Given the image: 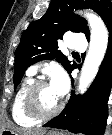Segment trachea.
Wrapping results in <instances>:
<instances>
[{"instance_id": "obj_1", "label": "trachea", "mask_w": 112, "mask_h": 135, "mask_svg": "<svg viewBox=\"0 0 112 135\" xmlns=\"http://www.w3.org/2000/svg\"><path fill=\"white\" fill-rule=\"evenodd\" d=\"M74 55H77L78 53H73Z\"/></svg>"}]
</instances>
